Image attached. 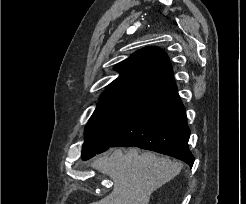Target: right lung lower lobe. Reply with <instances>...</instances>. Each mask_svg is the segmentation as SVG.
I'll return each instance as SVG.
<instances>
[{"mask_svg":"<svg viewBox=\"0 0 246 204\" xmlns=\"http://www.w3.org/2000/svg\"><path fill=\"white\" fill-rule=\"evenodd\" d=\"M189 136L185 108L172 80L132 103L110 147L136 146L172 156L192 167Z\"/></svg>","mask_w":246,"mask_h":204,"instance_id":"obj_1","label":"right lung lower lobe"}]
</instances>
